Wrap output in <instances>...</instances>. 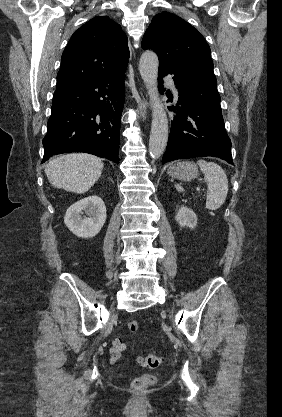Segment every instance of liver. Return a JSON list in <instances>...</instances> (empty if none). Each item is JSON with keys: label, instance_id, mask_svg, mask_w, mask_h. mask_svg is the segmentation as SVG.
<instances>
[{"label": "liver", "instance_id": "1", "mask_svg": "<svg viewBox=\"0 0 282 417\" xmlns=\"http://www.w3.org/2000/svg\"><path fill=\"white\" fill-rule=\"evenodd\" d=\"M102 158L86 152L62 154L45 166L46 176L52 186L69 192H87L102 174Z\"/></svg>", "mask_w": 282, "mask_h": 417}]
</instances>
